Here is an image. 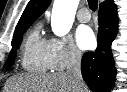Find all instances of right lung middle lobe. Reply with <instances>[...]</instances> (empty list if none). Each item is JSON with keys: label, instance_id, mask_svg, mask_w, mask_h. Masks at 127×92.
Here are the masks:
<instances>
[{"label": "right lung middle lobe", "instance_id": "right-lung-middle-lobe-1", "mask_svg": "<svg viewBox=\"0 0 127 92\" xmlns=\"http://www.w3.org/2000/svg\"><path fill=\"white\" fill-rule=\"evenodd\" d=\"M28 28L29 26L15 32L13 40H12V49L4 65L5 68H9L13 65L15 57H16L17 49L19 48L22 38H23V34Z\"/></svg>", "mask_w": 127, "mask_h": 92}]
</instances>
